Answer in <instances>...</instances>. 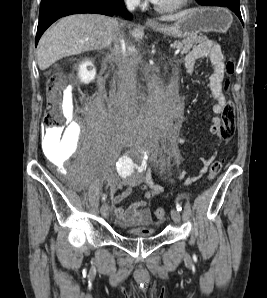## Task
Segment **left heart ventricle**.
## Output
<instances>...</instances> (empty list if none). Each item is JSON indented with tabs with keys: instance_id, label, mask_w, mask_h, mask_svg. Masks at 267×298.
<instances>
[{
	"instance_id": "obj_1",
	"label": "left heart ventricle",
	"mask_w": 267,
	"mask_h": 298,
	"mask_svg": "<svg viewBox=\"0 0 267 298\" xmlns=\"http://www.w3.org/2000/svg\"><path fill=\"white\" fill-rule=\"evenodd\" d=\"M179 0H158L157 4L162 7H171L175 5Z\"/></svg>"
}]
</instances>
